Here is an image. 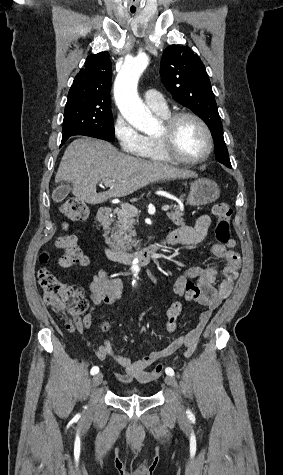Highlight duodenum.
Segmentation results:
<instances>
[{
    "mask_svg": "<svg viewBox=\"0 0 283 475\" xmlns=\"http://www.w3.org/2000/svg\"><path fill=\"white\" fill-rule=\"evenodd\" d=\"M112 212L109 208L102 207L96 213V221L102 228H107L111 221ZM165 244V242L154 243L140 251L130 253L123 250L115 249L110 246H104V253L106 257L118 263H133L138 262L141 264L149 263L157 251Z\"/></svg>",
    "mask_w": 283,
    "mask_h": 475,
    "instance_id": "obj_1",
    "label": "duodenum"
}]
</instances>
